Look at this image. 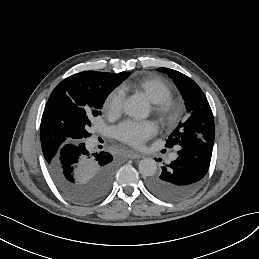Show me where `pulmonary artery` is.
<instances>
[{
  "instance_id": "e3ab8cb5",
  "label": "pulmonary artery",
  "mask_w": 259,
  "mask_h": 259,
  "mask_svg": "<svg viewBox=\"0 0 259 259\" xmlns=\"http://www.w3.org/2000/svg\"><path fill=\"white\" fill-rule=\"evenodd\" d=\"M176 157H177V154H176V153L171 154V155L168 157V161H173V160L176 159Z\"/></svg>"
}]
</instances>
